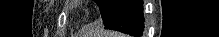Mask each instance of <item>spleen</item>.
<instances>
[{"label":"spleen","instance_id":"spleen-1","mask_svg":"<svg viewBox=\"0 0 219 37\" xmlns=\"http://www.w3.org/2000/svg\"><path fill=\"white\" fill-rule=\"evenodd\" d=\"M108 37H124L121 34H117V33H110Z\"/></svg>","mask_w":219,"mask_h":37}]
</instances>
